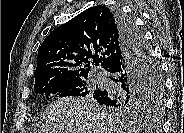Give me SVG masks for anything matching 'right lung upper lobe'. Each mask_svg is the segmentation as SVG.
Masks as SVG:
<instances>
[{
  "mask_svg": "<svg viewBox=\"0 0 184 133\" xmlns=\"http://www.w3.org/2000/svg\"><path fill=\"white\" fill-rule=\"evenodd\" d=\"M121 48L115 12L103 5L91 7L45 38L38 50L35 84L49 78L87 76L91 65L106 69Z\"/></svg>",
  "mask_w": 184,
  "mask_h": 133,
  "instance_id": "right-lung-upper-lobe-1",
  "label": "right lung upper lobe"
}]
</instances>
